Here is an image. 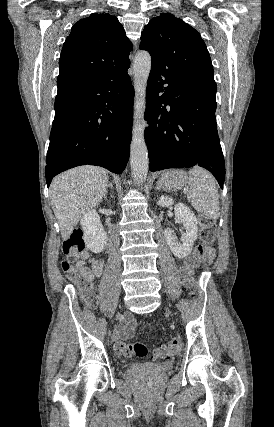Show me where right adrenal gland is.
Listing matches in <instances>:
<instances>
[{"mask_svg":"<svg viewBox=\"0 0 274 427\" xmlns=\"http://www.w3.org/2000/svg\"><path fill=\"white\" fill-rule=\"evenodd\" d=\"M107 188H111V190H113V184H112V182H109Z\"/></svg>","mask_w":274,"mask_h":427,"instance_id":"right-adrenal-gland-1","label":"right adrenal gland"}]
</instances>
